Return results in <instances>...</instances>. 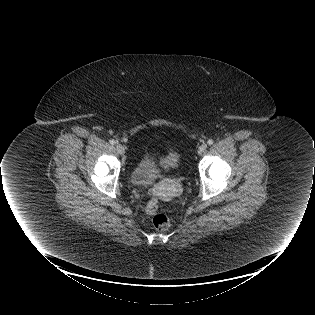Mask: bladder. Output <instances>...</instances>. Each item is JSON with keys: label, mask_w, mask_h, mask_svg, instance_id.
<instances>
[{"label": "bladder", "mask_w": 315, "mask_h": 315, "mask_svg": "<svg viewBox=\"0 0 315 315\" xmlns=\"http://www.w3.org/2000/svg\"><path fill=\"white\" fill-rule=\"evenodd\" d=\"M160 176L154 158L150 154L143 155L130 172V183L136 187L149 186Z\"/></svg>", "instance_id": "obj_1"}]
</instances>
